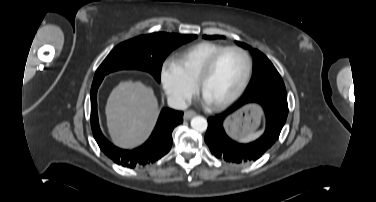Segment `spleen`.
<instances>
[{
  "mask_svg": "<svg viewBox=\"0 0 376 202\" xmlns=\"http://www.w3.org/2000/svg\"><path fill=\"white\" fill-rule=\"evenodd\" d=\"M260 134H261L260 131L255 132V133H252V134H250V135L244 137V138L242 139V141H243V142H250V141L255 140L256 138H258V137L260 136Z\"/></svg>",
  "mask_w": 376,
  "mask_h": 202,
  "instance_id": "1",
  "label": "spleen"
}]
</instances>
